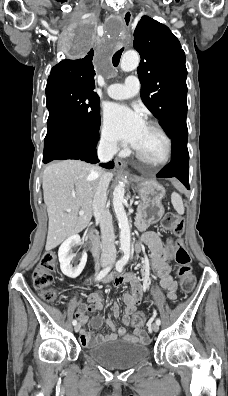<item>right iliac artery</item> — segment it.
<instances>
[{
	"label": "right iliac artery",
	"instance_id": "82829eb1",
	"mask_svg": "<svg viewBox=\"0 0 228 396\" xmlns=\"http://www.w3.org/2000/svg\"><path fill=\"white\" fill-rule=\"evenodd\" d=\"M111 267L112 266L110 265V266L106 267L105 269H103L102 271H100L99 274L96 276V280H100L103 277H105L108 274V272L111 270ZM72 324L75 326L77 324V321L73 320Z\"/></svg>",
	"mask_w": 228,
	"mask_h": 396
}]
</instances>
